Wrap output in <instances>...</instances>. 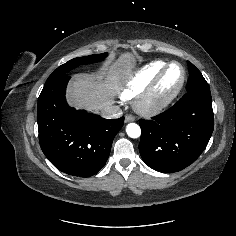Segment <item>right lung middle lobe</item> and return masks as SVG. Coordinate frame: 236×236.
Instances as JSON below:
<instances>
[{"mask_svg": "<svg viewBox=\"0 0 236 236\" xmlns=\"http://www.w3.org/2000/svg\"><path fill=\"white\" fill-rule=\"evenodd\" d=\"M106 56H107V53H103V54L89 55V56L71 59L67 63L59 66L56 70H54L52 74L48 77L46 82L53 81L63 75H67V73L70 70L80 65L95 63L97 61L103 60Z\"/></svg>", "mask_w": 236, "mask_h": 236, "instance_id": "dd1d6c3e", "label": "right lung middle lobe"}]
</instances>
